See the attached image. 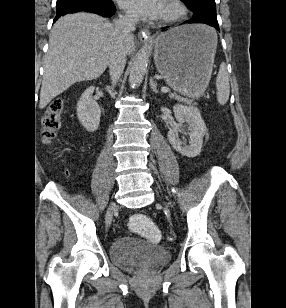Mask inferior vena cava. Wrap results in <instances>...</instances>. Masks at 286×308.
Returning <instances> with one entry per match:
<instances>
[{
    "instance_id": "602c4592",
    "label": "inferior vena cava",
    "mask_w": 286,
    "mask_h": 308,
    "mask_svg": "<svg viewBox=\"0 0 286 308\" xmlns=\"http://www.w3.org/2000/svg\"><path fill=\"white\" fill-rule=\"evenodd\" d=\"M136 21L127 16H120L113 23L114 29L118 34L116 46L114 47L109 59V72L112 86L116 85L123 73L126 64L125 40L133 36Z\"/></svg>"
}]
</instances>
